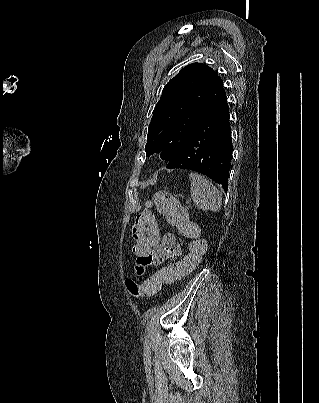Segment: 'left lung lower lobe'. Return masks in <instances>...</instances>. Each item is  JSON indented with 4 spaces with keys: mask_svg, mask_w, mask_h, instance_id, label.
<instances>
[{
    "mask_svg": "<svg viewBox=\"0 0 319 403\" xmlns=\"http://www.w3.org/2000/svg\"><path fill=\"white\" fill-rule=\"evenodd\" d=\"M232 158L231 128L225 91L216 97L193 127L188 140L166 168L190 169L228 189Z\"/></svg>",
    "mask_w": 319,
    "mask_h": 403,
    "instance_id": "left-lung-lower-lobe-1",
    "label": "left lung lower lobe"
}]
</instances>
